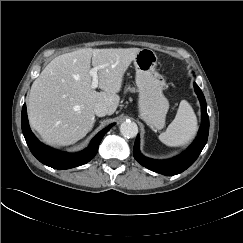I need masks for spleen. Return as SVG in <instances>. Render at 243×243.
I'll list each match as a JSON object with an SVG mask.
<instances>
[{"label":"spleen","instance_id":"obj_1","mask_svg":"<svg viewBox=\"0 0 243 243\" xmlns=\"http://www.w3.org/2000/svg\"><path fill=\"white\" fill-rule=\"evenodd\" d=\"M196 132V115L191 105L186 100H182L174 120L166 131L159 135V140L167 146L178 147L187 144Z\"/></svg>","mask_w":243,"mask_h":243}]
</instances>
